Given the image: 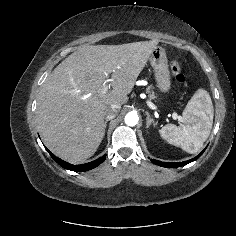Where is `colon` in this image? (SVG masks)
<instances>
[{
    "mask_svg": "<svg viewBox=\"0 0 236 236\" xmlns=\"http://www.w3.org/2000/svg\"><path fill=\"white\" fill-rule=\"evenodd\" d=\"M170 69L172 71L174 79L177 82L183 83L185 81L186 79L185 73L182 70L181 64L178 61L176 60L171 61Z\"/></svg>",
    "mask_w": 236,
    "mask_h": 236,
    "instance_id": "obj_1",
    "label": "colon"
}]
</instances>
